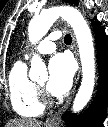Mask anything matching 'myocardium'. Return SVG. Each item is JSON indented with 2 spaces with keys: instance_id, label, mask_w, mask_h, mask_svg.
<instances>
[{
  "instance_id": "f54148a6",
  "label": "myocardium",
  "mask_w": 108,
  "mask_h": 127,
  "mask_svg": "<svg viewBox=\"0 0 108 127\" xmlns=\"http://www.w3.org/2000/svg\"><path fill=\"white\" fill-rule=\"evenodd\" d=\"M36 86H37L38 91L39 92H42V85L38 84ZM42 104H44V102H42Z\"/></svg>"
}]
</instances>
